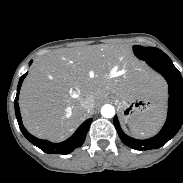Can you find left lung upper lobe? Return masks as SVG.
<instances>
[{
    "label": "left lung upper lobe",
    "instance_id": "obj_1",
    "mask_svg": "<svg viewBox=\"0 0 183 183\" xmlns=\"http://www.w3.org/2000/svg\"><path fill=\"white\" fill-rule=\"evenodd\" d=\"M133 50L135 55L142 60L148 61L152 59H158L162 57H166L167 55L161 51L158 48H147V47H142L139 45H134Z\"/></svg>",
    "mask_w": 183,
    "mask_h": 183
}]
</instances>
